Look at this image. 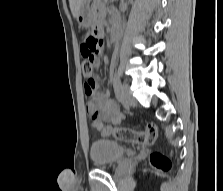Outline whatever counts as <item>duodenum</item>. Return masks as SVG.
<instances>
[{"instance_id": "1", "label": "duodenum", "mask_w": 223, "mask_h": 191, "mask_svg": "<svg viewBox=\"0 0 223 191\" xmlns=\"http://www.w3.org/2000/svg\"><path fill=\"white\" fill-rule=\"evenodd\" d=\"M120 35V27L118 25L114 26L111 29V40L114 41L116 40Z\"/></svg>"}]
</instances>
